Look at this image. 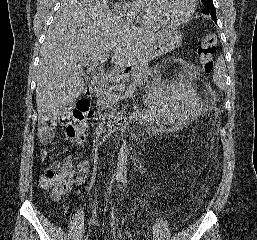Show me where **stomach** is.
<instances>
[{
    "label": "stomach",
    "instance_id": "obj_1",
    "mask_svg": "<svg viewBox=\"0 0 257 240\" xmlns=\"http://www.w3.org/2000/svg\"><path fill=\"white\" fill-rule=\"evenodd\" d=\"M182 38L181 32L177 29L166 28L162 37L136 62L137 69L143 67L154 58L176 49L182 43Z\"/></svg>",
    "mask_w": 257,
    "mask_h": 240
}]
</instances>
